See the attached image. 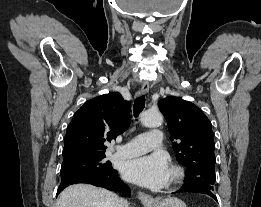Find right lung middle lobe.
Listing matches in <instances>:
<instances>
[{"label":"right lung middle lobe","mask_w":261,"mask_h":207,"mask_svg":"<svg viewBox=\"0 0 261 207\" xmlns=\"http://www.w3.org/2000/svg\"><path fill=\"white\" fill-rule=\"evenodd\" d=\"M105 154L89 155L64 160L61 166V177L78 173L112 172L109 161L105 162Z\"/></svg>","instance_id":"obj_1"}]
</instances>
